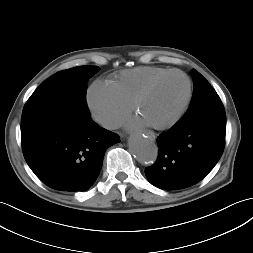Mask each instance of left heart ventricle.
I'll list each match as a JSON object with an SVG mask.
<instances>
[{"mask_svg":"<svg viewBox=\"0 0 253 253\" xmlns=\"http://www.w3.org/2000/svg\"><path fill=\"white\" fill-rule=\"evenodd\" d=\"M186 92L187 83L183 76H168L143 99L137 114L147 124L165 123L178 112Z\"/></svg>","mask_w":253,"mask_h":253,"instance_id":"obj_1","label":"left heart ventricle"}]
</instances>
